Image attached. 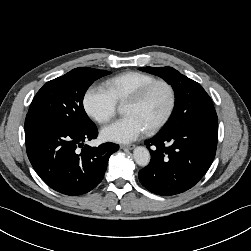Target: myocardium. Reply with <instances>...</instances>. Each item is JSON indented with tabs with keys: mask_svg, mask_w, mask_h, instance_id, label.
<instances>
[{
	"mask_svg": "<svg viewBox=\"0 0 251 251\" xmlns=\"http://www.w3.org/2000/svg\"><path fill=\"white\" fill-rule=\"evenodd\" d=\"M158 85H164L168 89L169 94H170V105H169L167 113L162 118V120L160 122H158L155 126L147 129V133H149V134H155V133L159 132L161 129H163L168 124V122L172 118L174 111H175V108H176V104H177V94H176V90H175L174 86L167 80L156 79V80L146 84L142 88H140L125 103V105L141 103L147 97V95L150 93V91Z\"/></svg>",
	"mask_w": 251,
	"mask_h": 251,
	"instance_id": "obj_1",
	"label": "myocardium"
}]
</instances>
